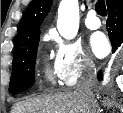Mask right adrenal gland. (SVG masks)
Listing matches in <instances>:
<instances>
[{
    "label": "right adrenal gland",
    "instance_id": "2a0ac1e0",
    "mask_svg": "<svg viewBox=\"0 0 123 113\" xmlns=\"http://www.w3.org/2000/svg\"><path fill=\"white\" fill-rule=\"evenodd\" d=\"M102 112V109L100 111H98V113H101Z\"/></svg>",
    "mask_w": 123,
    "mask_h": 113
}]
</instances>
